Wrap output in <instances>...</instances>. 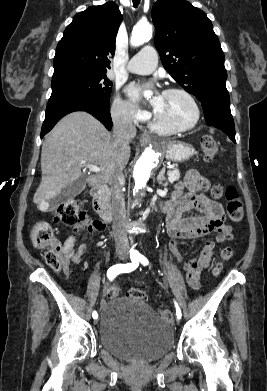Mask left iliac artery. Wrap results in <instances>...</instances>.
Listing matches in <instances>:
<instances>
[{
    "label": "left iliac artery",
    "instance_id": "obj_1",
    "mask_svg": "<svg viewBox=\"0 0 267 391\" xmlns=\"http://www.w3.org/2000/svg\"><path fill=\"white\" fill-rule=\"evenodd\" d=\"M137 258L138 260L145 266V265H148V260L146 257H144L143 255L141 254H138L137 255ZM175 307H176V315H177V318H181L182 314H181V310L178 306V304L175 302Z\"/></svg>",
    "mask_w": 267,
    "mask_h": 391
}]
</instances>
